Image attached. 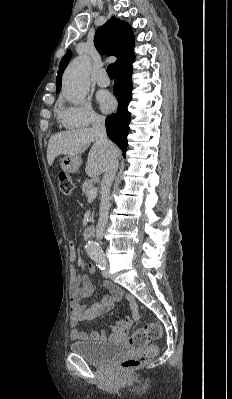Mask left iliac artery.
<instances>
[{
    "mask_svg": "<svg viewBox=\"0 0 232 399\" xmlns=\"http://www.w3.org/2000/svg\"><path fill=\"white\" fill-rule=\"evenodd\" d=\"M97 266L101 270H105L106 268V257L103 253H94L91 255Z\"/></svg>",
    "mask_w": 232,
    "mask_h": 399,
    "instance_id": "1",
    "label": "left iliac artery"
}]
</instances>
